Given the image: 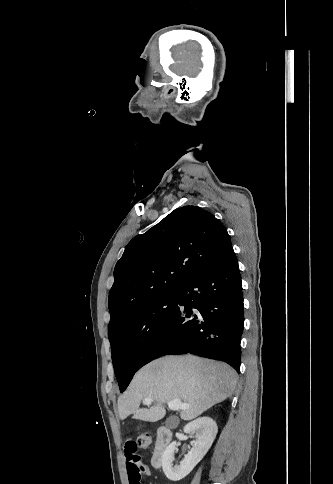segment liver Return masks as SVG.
I'll return each mask as SVG.
<instances>
[{"mask_svg":"<svg viewBox=\"0 0 333 484\" xmlns=\"http://www.w3.org/2000/svg\"><path fill=\"white\" fill-rule=\"evenodd\" d=\"M236 383V372L222 362L191 355L159 358L141 368L118 398L119 417L134 414L135 419L156 422L166 414L164 403L180 399L189 405L181 410V419L192 420L231 397ZM145 398H152L153 406L139 408Z\"/></svg>","mask_w":333,"mask_h":484,"instance_id":"1","label":"liver"}]
</instances>
